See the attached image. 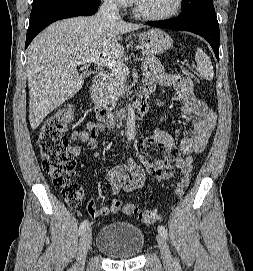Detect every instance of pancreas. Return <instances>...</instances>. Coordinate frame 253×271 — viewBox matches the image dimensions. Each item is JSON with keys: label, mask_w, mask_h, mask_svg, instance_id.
<instances>
[{"label": "pancreas", "mask_w": 253, "mask_h": 271, "mask_svg": "<svg viewBox=\"0 0 253 271\" xmlns=\"http://www.w3.org/2000/svg\"><path fill=\"white\" fill-rule=\"evenodd\" d=\"M143 63L146 64L150 71L156 73H164V67L154 55L143 52ZM126 76L116 73L115 71L108 72L104 80L98 88L97 100L104 106H114L119 97L125 93Z\"/></svg>", "instance_id": "pancreas-1"}]
</instances>
